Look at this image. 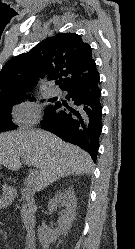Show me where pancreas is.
Returning <instances> with one entry per match:
<instances>
[{
  "label": "pancreas",
  "instance_id": "1",
  "mask_svg": "<svg viewBox=\"0 0 135 249\" xmlns=\"http://www.w3.org/2000/svg\"><path fill=\"white\" fill-rule=\"evenodd\" d=\"M34 212H35V206L32 203L26 202L22 204L21 217L25 222L33 218Z\"/></svg>",
  "mask_w": 135,
  "mask_h": 249
}]
</instances>
